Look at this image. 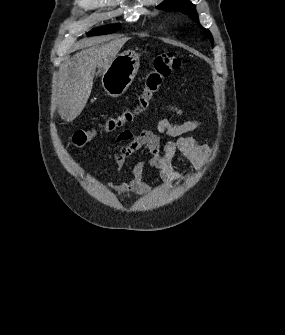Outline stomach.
<instances>
[{
	"label": "stomach",
	"mask_w": 285,
	"mask_h": 335,
	"mask_svg": "<svg viewBox=\"0 0 285 335\" xmlns=\"http://www.w3.org/2000/svg\"><path fill=\"white\" fill-rule=\"evenodd\" d=\"M139 54L127 50L113 58L107 70L102 74V86L108 96L118 98L131 86L139 70Z\"/></svg>",
	"instance_id": "0dacf381"
}]
</instances>
